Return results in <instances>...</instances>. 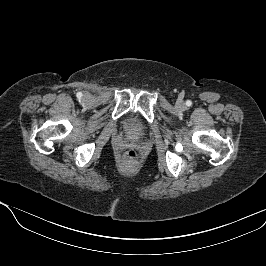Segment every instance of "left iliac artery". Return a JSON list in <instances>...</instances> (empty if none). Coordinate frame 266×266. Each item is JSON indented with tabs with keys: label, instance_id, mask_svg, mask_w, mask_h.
<instances>
[{
	"label": "left iliac artery",
	"instance_id": "44dca946",
	"mask_svg": "<svg viewBox=\"0 0 266 266\" xmlns=\"http://www.w3.org/2000/svg\"><path fill=\"white\" fill-rule=\"evenodd\" d=\"M186 105H187V106H190V105H191V101H187V102H186Z\"/></svg>",
	"mask_w": 266,
	"mask_h": 266
}]
</instances>
